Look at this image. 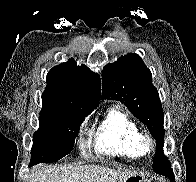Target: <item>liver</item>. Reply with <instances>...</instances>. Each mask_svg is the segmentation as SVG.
Wrapping results in <instances>:
<instances>
[{"mask_svg": "<svg viewBox=\"0 0 196 182\" xmlns=\"http://www.w3.org/2000/svg\"><path fill=\"white\" fill-rule=\"evenodd\" d=\"M127 170H115L97 165L50 166L36 168L29 182H125L134 175Z\"/></svg>", "mask_w": 196, "mask_h": 182, "instance_id": "6515ba94", "label": "liver"}]
</instances>
